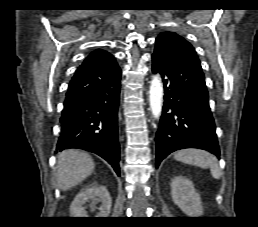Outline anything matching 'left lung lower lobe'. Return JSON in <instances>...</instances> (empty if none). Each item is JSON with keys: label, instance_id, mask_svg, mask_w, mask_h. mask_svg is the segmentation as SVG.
<instances>
[{"label": "left lung lower lobe", "instance_id": "left-lung-lower-lobe-1", "mask_svg": "<svg viewBox=\"0 0 258 227\" xmlns=\"http://www.w3.org/2000/svg\"><path fill=\"white\" fill-rule=\"evenodd\" d=\"M152 71L164 83V106L156 133V167L171 152L199 148L219 156L215 123L202 69L163 47H155Z\"/></svg>", "mask_w": 258, "mask_h": 227}]
</instances>
